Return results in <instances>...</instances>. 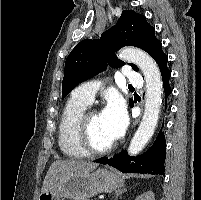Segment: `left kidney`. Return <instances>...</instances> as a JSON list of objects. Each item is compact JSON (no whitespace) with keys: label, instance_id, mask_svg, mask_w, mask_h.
<instances>
[{"label":"left kidney","instance_id":"5707ae66","mask_svg":"<svg viewBox=\"0 0 201 200\" xmlns=\"http://www.w3.org/2000/svg\"><path fill=\"white\" fill-rule=\"evenodd\" d=\"M135 200H155L154 193L152 191H147L139 195Z\"/></svg>","mask_w":201,"mask_h":200}]
</instances>
